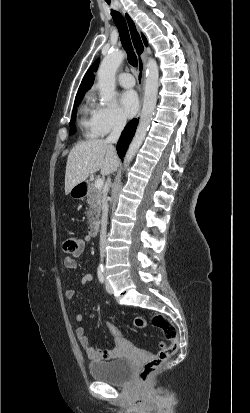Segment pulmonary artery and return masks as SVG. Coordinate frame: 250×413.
I'll return each mask as SVG.
<instances>
[{"label":"pulmonary artery","instance_id":"pulmonary-artery-1","mask_svg":"<svg viewBox=\"0 0 250 413\" xmlns=\"http://www.w3.org/2000/svg\"><path fill=\"white\" fill-rule=\"evenodd\" d=\"M118 81L125 88H132L135 85L134 77L130 73L119 74Z\"/></svg>","mask_w":250,"mask_h":413}]
</instances>
